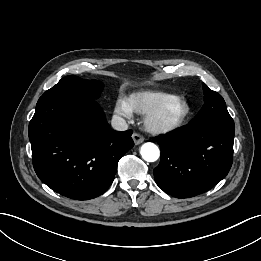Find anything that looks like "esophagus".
Wrapping results in <instances>:
<instances>
[{"mask_svg":"<svg viewBox=\"0 0 261 261\" xmlns=\"http://www.w3.org/2000/svg\"><path fill=\"white\" fill-rule=\"evenodd\" d=\"M132 139H133L135 145H139L144 141L143 136H141L139 133H133Z\"/></svg>","mask_w":261,"mask_h":261,"instance_id":"obj_1","label":"esophagus"}]
</instances>
